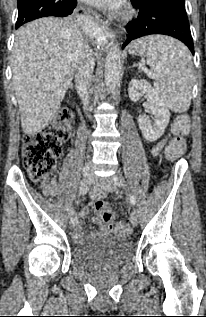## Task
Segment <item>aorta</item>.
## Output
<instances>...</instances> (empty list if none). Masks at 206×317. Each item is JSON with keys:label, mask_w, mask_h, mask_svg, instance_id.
I'll return each mask as SVG.
<instances>
[{"label": "aorta", "mask_w": 206, "mask_h": 317, "mask_svg": "<svg viewBox=\"0 0 206 317\" xmlns=\"http://www.w3.org/2000/svg\"><path fill=\"white\" fill-rule=\"evenodd\" d=\"M86 28L90 32L96 33L97 26L92 22L89 21L86 23ZM121 73V50L118 44L112 45L107 58H106V65H105V84L107 88L114 92L115 88L120 79Z\"/></svg>", "instance_id": "obj_1"}]
</instances>
